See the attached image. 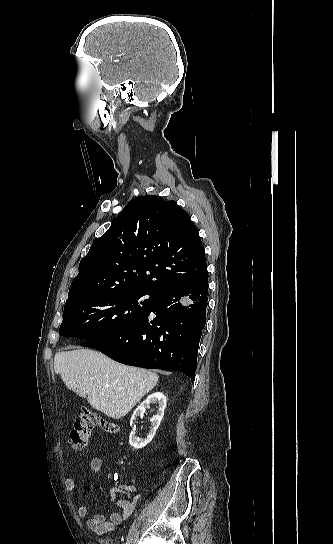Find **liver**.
<instances>
[{
  "mask_svg": "<svg viewBox=\"0 0 333 544\" xmlns=\"http://www.w3.org/2000/svg\"><path fill=\"white\" fill-rule=\"evenodd\" d=\"M54 369L69 390L113 419L125 416L159 379L154 372L120 364L91 349L56 353Z\"/></svg>",
  "mask_w": 333,
  "mask_h": 544,
  "instance_id": "6515ba94",
  "label": "liver"
}]
</instances>
